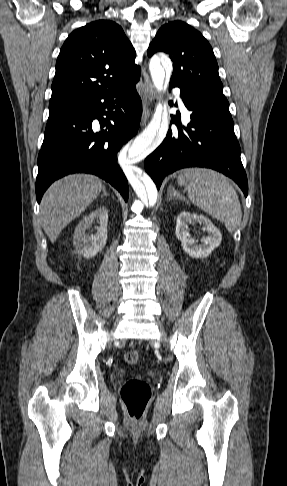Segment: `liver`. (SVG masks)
I'll list each match as a JSON object with an SVG mask.
<instances>
[{
  "mask_svg": "<svg viewBox=\"0 0 287 486\" xmlns=\"http://www.w3.org/2000/svg\"><path fill=\"white\" fill-rule=\"evenodd\" d=\"M102 181L93 175L73 174L54 182L44 194L42 226L54 243L60 232L98 197Z\"/></svg>",
  "mask_w": 287,
  "mask_h": 486,
  "instance_id": "1",
  "label": "liver"
}]
</instances>
